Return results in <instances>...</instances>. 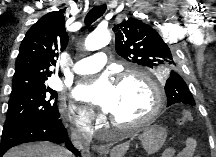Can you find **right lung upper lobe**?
I'll return each instance as SVG.
<instances>
[{
	"label": "right lung upper lobe",
	"mask_w": 216,
	"mask_h": 157,
	"mask_svg": "<svg viewBox=\"0 0 216 157\" xmlns=\"http://www.w3.org/2000/svg\"><path fill=\"white\" fill-rule=\"evenodd\" d=\"M67 43L62 10L50 12L36 22L20 45L11 94L45 86L52 74L49 67L56 65V58Z\"/></svg>",
	"instance_id": "obj_1"
}]
</instances>
